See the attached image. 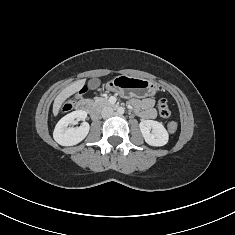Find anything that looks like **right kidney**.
Wrapping results in <instances>:
<instances>
[{"instance_id":"1","label":"right kidney","mask_w":235,"mask_h":235,"mask_svg":"<svg viewBox=\"0 0 235 235\" xmlns=\"http://www.w3.org/2000/svg\"><path fill=\"white\" fill-rule=\"evenodd\" d=\"M86 111H73L64 116L56 125L53 133L54 140L62 146H72L80 143L88 134L90 126L83 122L79 127H68L75 120H85Z\"/></svg>"}]
</instances>
